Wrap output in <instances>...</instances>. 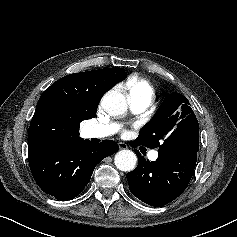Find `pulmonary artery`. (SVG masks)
Listing matches in <instances>:
<instances>
[{"label":"pulmonary artery","mask_w":237,"mask_h":237,"mask_svg":"<svg viewBox=\"0 0 237 237\" xmlns=\"http://www.w3.org/2000/svg\"><path fill=\"white\" fill-rule=\"evenodd\" d=\"M152 100L147 97L129 98L130 107L133 112L140 113L149 107ZM119 130L117 123L91 125L87 128V136L89 138H106L115 134ZM158 157L157 152H152L149 155L151 160H156Z\"/></svg>","instance_id":"1"}]
</instances>
